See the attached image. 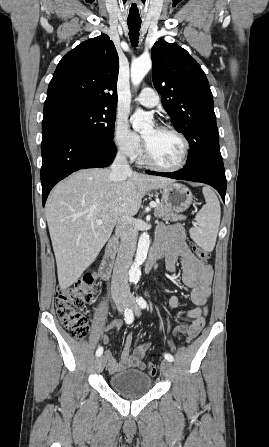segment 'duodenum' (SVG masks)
<instances>
[{"mask_svg":"<svg viewBox=\"0 0 269 447\" xmlns=\"http://www.w3.org/2000/svg\"><path fill=\"white\" fill-rule=\"evenodd\" d=\"M116 248H117V241L115 238H113L109 242V244L106 248V252L102 259L101 266H100V275L105 280L108 279L111 275L113 265H114ZM162 255H163L162 251H160L156 248H153L150 251L149 256L147 258L146 266H145V271L147 273L152 270V268L155 266V264L161 258Z\"/></svg>","mask_w":269,"mask_h":447,"instance_id":"obj_1","label":"duodenum"}]
</instances>
